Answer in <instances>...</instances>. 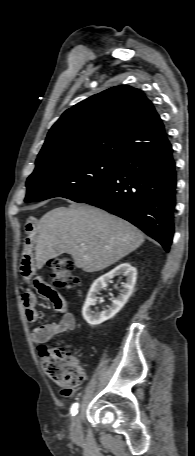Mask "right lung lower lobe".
Returning a JSON list of instances; mask_svg holds the SVG:
<instances>
[{
  "label": "right lung lower lobe",
  "mask_w": 195,
  "mask_h": 456,
  "mask_svg": "<svg viewBox=\"0 0 195 456\" xmlns=\"http://www.w3.org/2000/svg\"><path fill=\"white\" fill-rule=\"evenodd\" d=\"M176 166L170 143L120 162L116 173L73 199L115 214L169 251L174 234Z\"/></svg>",
  "instance_id": "1"
}]
</instances>
